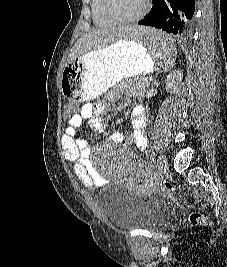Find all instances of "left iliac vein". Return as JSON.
Returning a JSON list of instances; mask_svg holds the SVG:
<instances>
[{"instance_id": "obj_1", "label": "left iliac vein", "mask_w": 227, "mask_h": 267, "mask_svg": "<svg viewBox=\"0 0 227 267\" xmlns=\"http://www.w3.org/2000/svg\"><path fill=\"white\" fill-rule=\"evenodd\" d=\"M157 167L161 174L166 172V170L168 169L167 159L163 154H160L157 158Z\"/></svg>"}]
</instances>
